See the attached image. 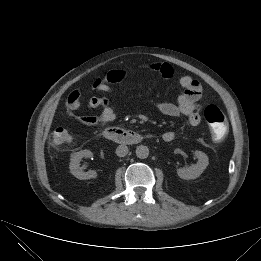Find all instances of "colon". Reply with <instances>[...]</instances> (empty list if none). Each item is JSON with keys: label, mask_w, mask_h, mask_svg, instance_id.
I'll use <instances>...</instances> for the list:
<instances>
[{"label": "colon", "mask_w": 261, "mask_h": 261, "mask_svg": "<svg viewBox=\"0 0 261 261\" xmlns=\"http://www.w3.org/2000/svg\"><path fill=\"white\" fill-rule=\"evenodd\" d=\"M124 73L119 70L109 71L103 80H97L94 87L102 82L117 83L123 79ZM204 117L209 125L212 137L215 141L223 140L228 132V123L224 113L216 106L209 105L204 110ZM71 141L69 131L63 127H57L52 133L51 142L54 146L66 145Z\"/></svg>", "instance_id": "1"}]
</instances>
